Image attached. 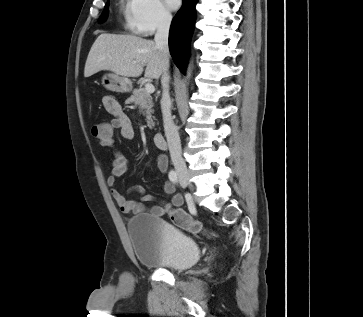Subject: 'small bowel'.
Here are the masks:
<instances>
[{"instance_id": "small-bowel-1", "label": "small bowel", "mask_w": 363, "mask_h": 317, "mask_svg": "<svg viewBox=\"0 0 363 317\" xmlns=\"http://www.w3.org/2000/svg\"><path fill=\"white\" fill-rule=\"evenodd\" d=\"M104 108L113 116V119L100 125V131L95 136L100 144L105 147L114 146V132L118 130L124 140H132L135 132L129 118L123 112L121 105L113 96H104L102 99ZM157 166L161 172L167 171V161L164 157L157 159ZM129 168V162L126 157L116 152L111 165V173L107 178V184L111 188V195L118 205L119 209L125 214H144L149 213L153 216H163L169 213L172 208L180 207L183 204L181 194L175 193V188L170 182H166L163 190L166 194L172 195L171 203H162L148 207L146 203L153 200V196L144 193L142 187L134 186L128 190V193L140 194L139 200H130L125 194L115 188L116 180L123 175Z\"/></svg>"}]
</instances>
